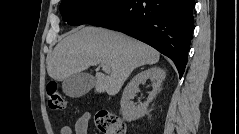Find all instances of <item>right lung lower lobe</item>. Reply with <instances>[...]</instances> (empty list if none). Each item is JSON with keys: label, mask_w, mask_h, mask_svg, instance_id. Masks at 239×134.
Wrapping results in <instances>:
<instances>
[{"label": "right lung lower lobe", "mask_w": 239, "mask_h": 134, "mask_svg": "<svg viewBox=\"0 0 239 134\" xmlns=\"http://www.w3.org/2000/svg\"><path fill=\"white\" fill-rule=\"evenodd\" d=\"M195 0H118L85 24L123 32L166 55L182 77L194 26Z\"/></svg>", "instance_id": "1"}]
</instances>
